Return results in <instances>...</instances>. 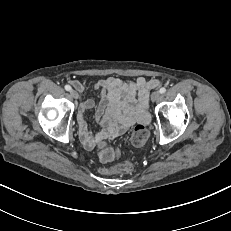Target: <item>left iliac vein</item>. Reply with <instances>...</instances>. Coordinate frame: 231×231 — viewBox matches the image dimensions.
I'll return each instance as SVG.
<instances>
[{
    "label": "left iliac vein",
    "mask_w": 231,
    "mask_h": 231,
    "mask_svg": "<svg viewBox=\"0 0 231 231\" xmlns=\"http://www.w3.org/2000/svg\"><path fill=\"white\" fill-rule=\"evenodd\" d=\"M159 99H160V92L154 91V92L152 93V95H151V100H152L153 102H156V101H158Z\"/></svg>",
    "instance_id": "1"
}]
</instances>
